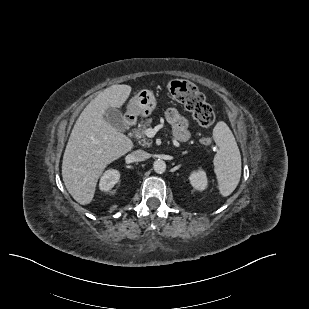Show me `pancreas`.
<instances>
[{"instance_id": "1", "label": "pancreas", "mask_w": 309, "mask_h": 309, "mask_svg": "<svg viewBox=\"0 0 309 309\" xmlns=\"http://www.w3.org/2000/svg\"><path fill=\"white\" fill-rule=\"evenodd\" d=\"M151 123V119H146L138 125V128L133 130L134 137L138 139L139 143L144 147L151 146V143L146 138V130L151 126Z\"/></svg>"}]
</instances>
